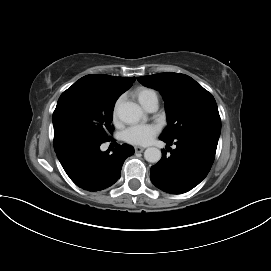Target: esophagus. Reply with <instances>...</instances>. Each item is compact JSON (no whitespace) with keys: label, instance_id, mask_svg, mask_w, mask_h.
<instances>
[{"label":"esophagus","instance_id":"34e87169","mask_svg":"<svg viewBox=\"0 0 271 271\" xmlns=\"http://www.w3.org/2000/svg\"><path fill=\"white\" fill-rule=\"evenodd\" d=\"M144 147H141V146H135V152L136 153H141V152H143L144 151Z\"/></svg>","mask_w":271,"mask_h":271}]
</instances>
